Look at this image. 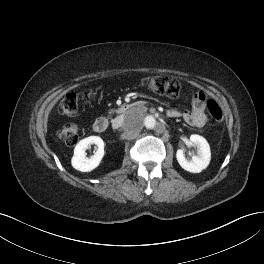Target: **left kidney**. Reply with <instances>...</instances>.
<instances>
[{
    "mask_svg": "<svg viewBox=\"0 0 264 264\" xmlns=\"http://www.w3.org/2000/svg\"><path fill=\"white\" fill-rule=\"evenodd\" d=\"M191 143L197 147V155H194L188 160L182 149H178L176 152V158L179 165L186 171L192 173H199L203 169H206L211 160L210 146L207 140L197 134L190 136Z\"/></svg>",
    "mask_w": 264,
    "mask_h": 264,
    "instance_id": "obj_1",
    "label": "left kidney"
}]
</instances>
